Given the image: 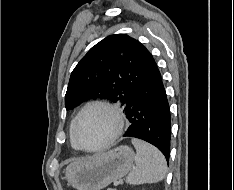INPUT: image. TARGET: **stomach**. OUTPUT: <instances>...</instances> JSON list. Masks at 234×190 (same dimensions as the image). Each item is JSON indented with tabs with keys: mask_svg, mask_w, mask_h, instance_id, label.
<instances>
[{
	"mask_svg": "<svg viewBox=\"0 0 234 190\" xmlns=\"http://www.w3.org/2000/svg\"><path fill=\"white\" fill-rule=\"evenodd\" d=\"M134 157L131 147L118 146L70 163L65 168V178L77 190H101L124 177L130 171Z\"/></svg>",
	"mask_w": 234,
	"mask_h": 190,
	"instance_id": "obj_1",
	"label": "stomach"
}]
</instances>
